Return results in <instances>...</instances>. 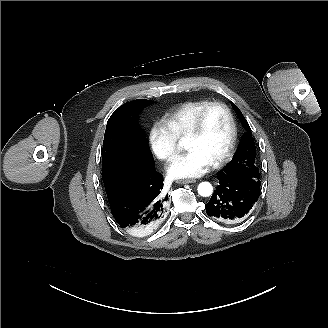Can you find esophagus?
<instances>
[{
	"label": "esophagus",
	"instance_id": "esophagus-1",
	"mask_svg": "<svg viewBox=\"0 0 328 328\" xmlns=\"http://www.w3.org/2000/svg\"><path fill=\"white\" fill-rule=\"evenodd\" d=\"M196 179L193 178H182V179H178L176 180L177 184H187V183H195Z\"/></svg>",
	"mask_w": 328,
	"mask_h": 328
}]
</instances>
